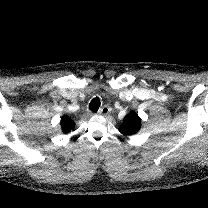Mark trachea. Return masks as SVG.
I'll use <instances>...</instances> for the list:
<instances>
[{"label":"trachea","mask_w":208,"mask_h":208,"mask_svg":"<svg viewBox=\"0 0 208 208\" xmlns=\"http://www.w3.org/2000/svg\"><path fill=\"white\" fill-rule=\"evenodd\" d=\"M100 99L99 98H94L91 100L90 104H89V109L92 111V112H97L99 107H100Z\"/></svg>","instance_id":"obj_1"}]
</instances>
